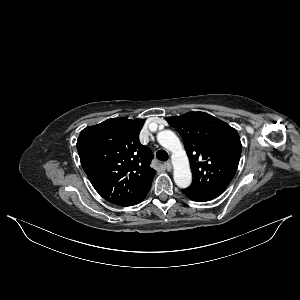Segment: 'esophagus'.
<instances>
[{
    "label": "esophagus",
    "instance_id": "esophagus-1",
    "mask_svg": "<svg viewBox=\"0 0 300 300\" xmlns=\"http://www.w3.org/2000/svg\"><path fill=\"white\" fill-rule=\"evenodd\" d=\"M164 166H165V168H166L168 171H170L171 168H172L171 162H169V161L165 162V163H164Z\"/></svg>",
    "mask_w": 300,
    "mask_h": 300
}]
</instances>
